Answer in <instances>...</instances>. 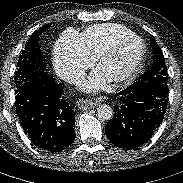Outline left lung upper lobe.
I'll list each match as a JSON object with an SVG mask.
<instances>
[{"label":"left lung upper lobe","mask_w":183,"mask_h":183,"mask_svg":"<svg viewBox=\"0 0 183 183\" xmlns=\"http://www.w3.org/2000/svg\"><path fill=\"white\" fill-rule=\"evenodd\" d=\"M154 48V63L151 69L141 75L135 83L129 87L135 91L145 92L161 98H167V68L165 65L163 53L152 37Z\"/></svg>","instance_id":"5c2ea615"}]
</instances>
